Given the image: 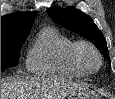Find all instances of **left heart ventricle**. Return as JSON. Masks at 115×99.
<instances>
[{"label":"left heart ventricle","mask_w":115,"mask_h":99,"mask_svg":"<svg viewBox=\"0 0 115 99\" xmlns=\"http://www.w3.org/2000/svg\"><path fill=\"white\" fill-rule=\"evenodd\" d=\"M82 58L85 62V64L90 68V69H95L98 66V59L96 55L90 51V50H83L82 51Z\"/></svg>","instance_id":"b2bd125f"}]
</instances>
